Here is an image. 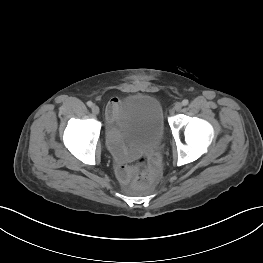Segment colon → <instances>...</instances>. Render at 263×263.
Masks as SVG:
<instances>
[{"label": "colon", "instance_id": "5ec220e1", "mask_svg": "<svg viewBox=\"0 0 263 263\" xmlns=\"http://www.w3.org/2000/svg\"><path fill=\"white\" fill-rule=\"evenodd\" d=\"M158 168V160L153 158L148 167L142 170L137 176L138 185L145 187L152 185L158 175Z\"/></svg>", "mask_w": 263, "mask_h": 263}]
</instances>
